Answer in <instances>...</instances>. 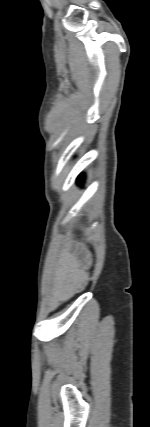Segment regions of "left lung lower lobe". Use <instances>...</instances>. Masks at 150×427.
<instances>
[{
    "mask_svg": "<svg viewBox=\"0 0 150 427\" xmlns=\"http://www.w3.org/2000/svg\"><path fill=\"white\" fill-rule=\"evenodd\" d=\"M83 180V175H80L78 178V183H80Z\"/></svg>",
    "mask_w": 150,
    "mask_h": 427,
    "instance_id": "1",
    "label": "left lung lower lobe"
}]
</instances>
